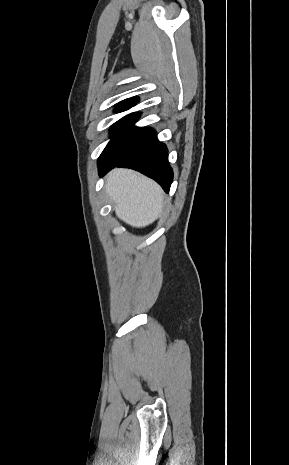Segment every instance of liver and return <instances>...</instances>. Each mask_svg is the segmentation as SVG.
I'll use <instances>...</instances> for the list:
<instances>
[{"label":"liver","mask_w":289,"mask_h":465,"mask_svg":"<svg viewBox=\"0 0 289 465\" xmlns=\"http://www.w3.org/2000/svg\"><path fill=\"white\" fill-rule=\"evenodd\" d=\"M105 190L117 217L132 227L148 226L161 215L164 199L161 187L133 170H112Z\"/></svg>","instance_id":"1"}]
</instances>
